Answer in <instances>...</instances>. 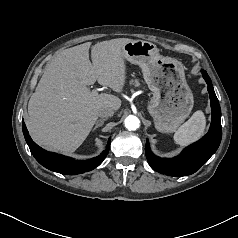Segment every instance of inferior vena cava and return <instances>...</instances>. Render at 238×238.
Returning a JSON list of instances; mask_svg holds the SVG:
<instances>
[{"instance_id": "1", "label": "inferior vena cava", "mask_w": 238, "mask_h": 238, "mask_svg": "<svg viewBox=\"0 0 238 238\" xmlns=\"http://www.w3.org/2000/svg\"><path fill=\"white\" fill-rule=\"evenodd\" d=\"M99 117H110L114 114V109L108 106H102L98 109Z\"/></svg>"}]
</instances>
